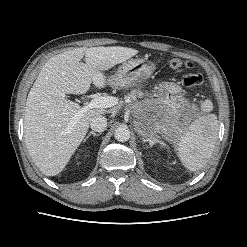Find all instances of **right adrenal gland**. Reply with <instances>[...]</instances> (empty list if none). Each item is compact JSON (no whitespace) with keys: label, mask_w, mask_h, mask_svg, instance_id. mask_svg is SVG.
<instances>
[{"label":"right adrenal gland","mask_w":247,"mask_h":247,"mask_svg":"<svg viewBox=\"0 0 247 247\" xmlns=\"http://www.w3.org/2000/svg\"><path fill=\"white\" fill-rule=\"evenodd\" d=\"M100 134H101V133H95L94 131H91V132H89L88 135L84 138L83 142L85 143L86 140H87L91 135H93V136H99Z\"/></svg>","instance_id":"1"}]
</instances>
